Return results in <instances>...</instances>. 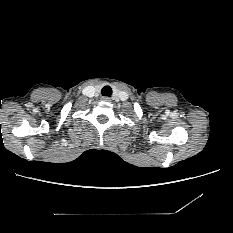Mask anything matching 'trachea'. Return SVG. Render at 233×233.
<instances>
[{
    "mask_svg": "<svg viewBox=\"0 0 233 233\" xmlns=\"http://www.w3.org/2000/svg\"><path fill=\"white\" fill-rule=\"evenodd\" d=\"M102 96L110 97L112 95V88L110 86H104L101 90Z\"/></svg>",
    "mask_w": 233,
    "mask_h": 233,
    "instance_id": "3493384b",
    "label": "trachea"
}]
</instances>
